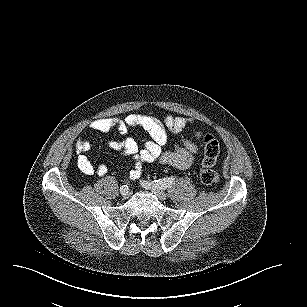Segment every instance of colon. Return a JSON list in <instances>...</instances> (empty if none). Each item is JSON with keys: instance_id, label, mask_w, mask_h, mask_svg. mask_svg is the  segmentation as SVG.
<instances>
[{"instance_id": "5ec220e1", "label": "colon", "mask_w": 307, "mask_h": 307, "mask_svg": "<svg viewBox=\"0 0 307 307\" xmlns=\"http://www.w3.org/2000/svg\"><path fill=\"white\" fill-rule=\"evenodd\" d=\"M202 142L204 152L199 172V178L203 184L215 185L220 180L219 173L214 169V165L220 150L219 143L210 134L204 135L202 137Z\"/></svg>"}]
</instances>
